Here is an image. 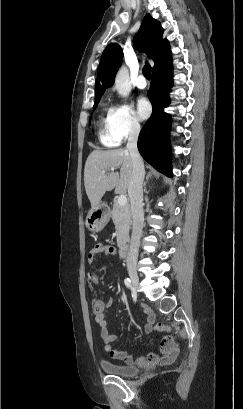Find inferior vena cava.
<instances>
[{"label": "inferior vena cava", "mask_w": 243, "mask_h": 409, "mask_svg": "<svg viewBox=\"0 0 243 409\" xmlns=\"http://www.w3.org/2000/svg\"><path fill=\"white\" fill-rule=\"evenodd\" d=\"M140 133L139 125H132L129 131L128 143L126 146L132 160V175L128 187V195L131 202L132 215V235L130 241L127 264H136L138 258L139 241L143 228V180L144 165L137 149V140Z\"/></svg>", "instance_id": "inferior-vena-cava-1"}]
</instances>
